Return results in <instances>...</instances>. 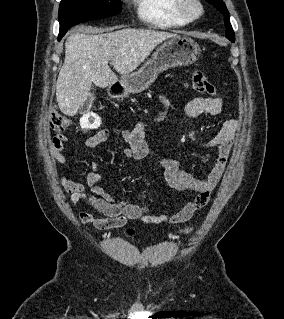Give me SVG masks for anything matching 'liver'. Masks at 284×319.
Listing matches in <instances>:
<instances>
[{"label":"liver","instance_id":"6515ba94","mask_svg":"<svg viewBox=\"0 0 284 319\" xmlns=\"http://www.w3.org/2000/svg\"><path fill=\"white\" fill-rule=\"evenodd\" d=\"M112 30H100L92 35L76 32L67 38L65 60L56 83L57 103L65 115L77 113L90 95L92 83L106 88L117 81L109 61L119 74L128 75L144 62L158 44L177 36L149 29Z\"/></svg>","mask_w":284,"mask_h":319}]
</instances>
